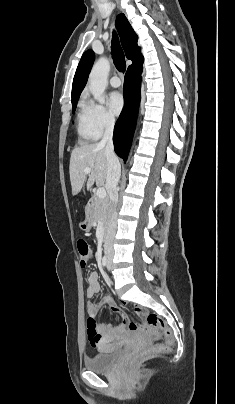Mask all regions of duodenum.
Listing matches in <instances>:
<instances>
[{"label": "duodenum", "mask_w": 235, "mask_h": 404, "mask_svg": "<svg viewBox=\"0 0 235 404\" xmlns=\"http://www.w3.org/2000/svg\"><path fill=\"white\" fill-rule=\"evenodd\" d=\"M92 210H93V202L91 201V202H89L87 213L90 215L92 213ZM106 239L107 238H106V235H105L104 238H103L104 243L106 242Z\"/></svg>", "instance_id": "obj_1"}]
</instances>
